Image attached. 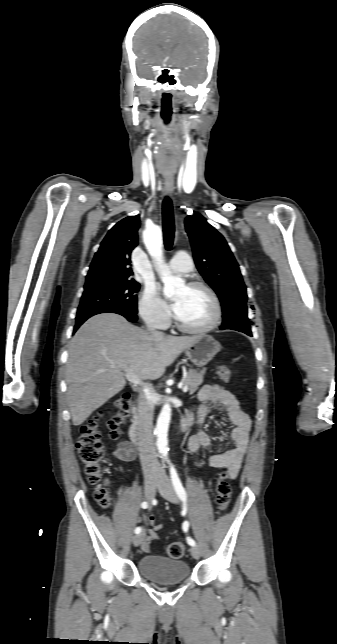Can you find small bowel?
I'll return each mask as SVG.
<instances>
[{
	"mask_svg": "<svg viewBox=\"0 0 337 644\" xmlns=\"http://www.w3.org/2000/svg\"><path fill=\"white\" fill-rule=\"evenodd\" d=\"M198 401L201 403L197 412V423L199 426L203 424L207 414L214 408L223 409L227 414L229 422L233 425L229 431L228 438L234 442V447L222 453H211L208 457V462L215 468H227L229 477L234 479L239 473L247 451L251 419L244 411L239 398L233 392L222 386H203L198 393ZM187 417L192 419V412ZM211 444V437L200 429L190 437L188 453L193 455L200 448L209 447ZM113 454L120 461L130 462L136 457V449L130 442L125 441L120 443ZM145 520L150 525V528L145 529V536L140 546L143 551L147 552L152 542L158 540L157 532L162 530L164 525L150 514L145 516Z\"/></svg>",
	"mask_w": 337,
	"mask_h": 644,
	"instance_id": "1",
	"label": "small bowel"
}]
</instances>
